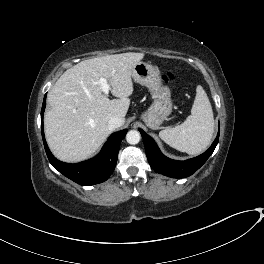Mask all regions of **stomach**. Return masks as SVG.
Instances as JSON below:
<instances>
[{"instance_id":"obj_1","label":"stomach","mask_w":264,"mask_h":264,"mask_svg":"<svg viewBox=\"0 0 264 264\" xmlns=\"http://www.w3.org/2000/svg\"><path fill=\"white\" fill-rule=\"evenodd\" d=\"M135 82L146 86L153 102L141 118L151 129H157L172 112L171 90L163 85L160 70L149 63L138 62L132 69Z\"/></svg>"}]
</instances>
